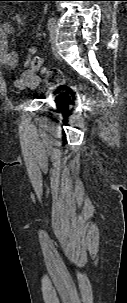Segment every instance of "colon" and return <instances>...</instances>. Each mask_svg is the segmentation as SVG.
Returning <instances> with one entry per match:
<instances>
[{
    "label": "colon",
    "mask_w": 127,
    "mask_h": 303,
    "mask_svg": "<svg viewBox=\"0 0 127 303\" xmlns=\"http://www.w3.org/2000/svg\"><path fill=\"white\" fill-rule=\"evenodd\" d=\"M43 58L40 56H34L32 59V68L35 71H42L44 73L46 82L52 86H60L63 84V75L58 69L45 70L43 68Z\"/></svg>",
    "instance_id": "1"
}]
</instances>
